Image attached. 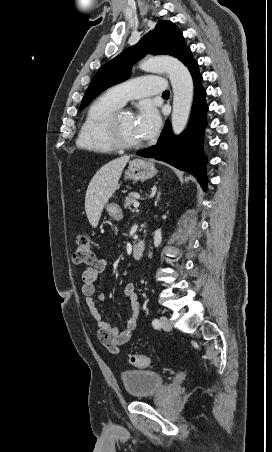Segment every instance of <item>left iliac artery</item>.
I'll list each match as a JSON object with an SVG mask.
<instances>
[{"label":"left iliac artery","instance_id":"1","mask_svg":"<svg viewBox=\"0 0 272 452\" xmlns=\"http://www.w3.org/2000/svg\"><path fill=\"white\" fill-rule=\"evenodd\" d=\"M152 325H153V327L156 328V329L160 328V326H161V325H160V321H159L158 319H153Z\"/></svg>","mask_w":272,"mask_h":452}]
</instances>
